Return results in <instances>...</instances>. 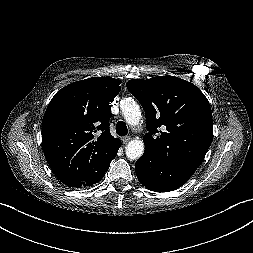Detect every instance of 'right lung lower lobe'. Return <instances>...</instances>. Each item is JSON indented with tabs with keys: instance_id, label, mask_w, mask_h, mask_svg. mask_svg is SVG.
<instances>
[{
	"instance_id": "98d812e1",
	"label": "right lung lower lobe",
	"mask_w": 253,
	"mask_h": 253,
	"mask_svg": "<svg viewBox=\"0 0 253 253\" xmlns=\"http://www.w3.org/2000/svg\"><path fill=\"white\" fill-rule=\"evenodd\" d=\"M109 166L104 169L102 172L97 173L96 175H93L89 178H87L86 180H70V181H65L63 182L64 184H66L69 187H76V188H80L82 186H90L93 185L95 183H98L103 176L105 175V172L108 170ZM62 182V181H61Z\"/></svg>"
}]
</instances>
